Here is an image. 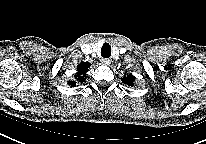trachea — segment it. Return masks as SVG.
<instances>
[{
  "mask_svg": "<svg viewBox=\"0 0 206 144\" xmlns=\"http://www.w3.org/2000/svg\"><path fill=\"white\" fill-rule=\"evenodd\" d=\"M101 56L104 58H109L111 56V46L109 43H104L101 48Z\"/></svg>",
  "mask_w": 206,
  "mask_h": 144,
  "instance_id": "3493384b",
  "label": "trachea"
}]
</instances>
